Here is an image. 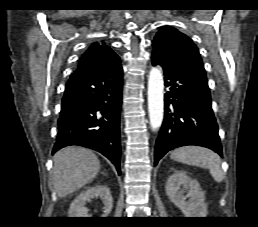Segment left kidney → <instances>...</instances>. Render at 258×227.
I'll return each mask as SVG.
<instances>
[{
	"label": "left kidney",
	"instance_id": "1",
	"mask_svg": "<svg viewBox=\"0 0 258 227\" xmlns=\"http://www.w3.org/2000/svg\"><path fill=\"white\" fill-rule=\"evenodd\" d=\"M165 188L171 202L180 208L185 217H206L208 211L204 192L199 182L189 177L186 172L176 171L172 174Z\"/></svg>",
	"mask_w": 258,
	"mask_h": 227
}]
</instances>
